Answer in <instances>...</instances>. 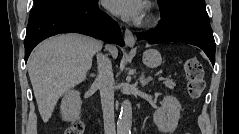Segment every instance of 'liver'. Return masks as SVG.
<instances>
[{"label":"liver","mask_w":239,"mask_h":134,"mask_svg":"<svg viewBox=\"0 0 239 134\" xmlns=\"http://www.w3.org/2000/svg\"><path fill=\"white\" fill-rule=\"evenodd\" d=\"M102 43L79 34L51 37L39 44L30 55L27 67L38 110L44 122L54 111L59 98L86 79L93 57ZM115 59L116 47H109Z\"/></svg>","instance_id":"liver-1"}]
</instances>
